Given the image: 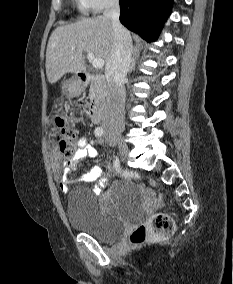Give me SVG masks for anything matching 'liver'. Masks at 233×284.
<instances>
[{
  "instance_id": "obj_1",
  "label": "liver",
  "mask_w": 233,
  "mask_h": 284,
  "mask_svg": "<svg viewBox=\"0 0 233 284\" xmlns=\"http://www.w3.org/2000/svg\"><path fill=\"white\" fill-rule=\"evenodd\" d=\"M113 42L112 22L104 16L57 27L50 36L46 51L49 83H56L66 73L85 72L84 52L93 53L107 64Z\"/></svg>"
}]
</instances>
